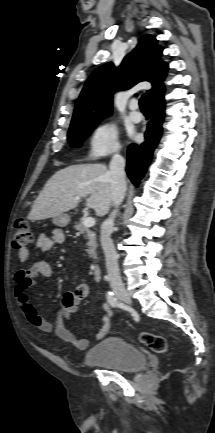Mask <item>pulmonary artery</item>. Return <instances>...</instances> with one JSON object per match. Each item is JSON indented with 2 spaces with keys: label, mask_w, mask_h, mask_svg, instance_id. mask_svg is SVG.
Segmentation results:
<instances>
[{
  "label": "pulmonary artery",
  "mask_w": 215,
  "mask_h": 433,
  "mask_svg": "<svg viewBox=\"0 0 215 433\" xmlns=\"http://www.w3.org/2000/svg\"><path fill=\"white\" fill-rule=\"evenodd\" d=\"M138 108V104L135 100L131 101L129 103V109H130V119L135 122L138 123L142 120V114L137 110Z\"/></svg>",
  "instance_id": "e3ab8cb5"
}]
</instances>
